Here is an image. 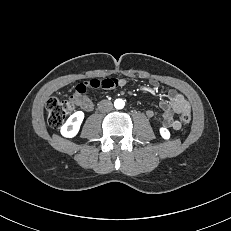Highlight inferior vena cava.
I'll return each mask as SVG.
<instances>
[{
    "mask_svg": "<svg viewBox=\"0 0 231 231\" xmlns=\"http://www.w3.org/2000/svg\"><path fill=\"white\" fill-rule=\"evenodd\" d=\"M98 108H99L100 112L106 113V112H110L113 109V105L108 100H102L99 102Z\"/></svg>",
    "mask_w": 231,
    "mask_h": 231,
    "instance_id": "obj_1",
    "label": "inferior vena cava"
}]
</instances>
